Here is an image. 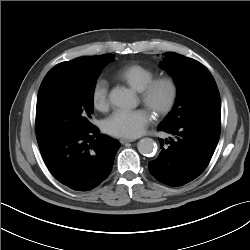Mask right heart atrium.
Segmentation results:
<instances>
[{
  "mask_svg": "<svg viewBox=\"0 0 250 250\" xmlns=\"http://www.w3.org/2000/svg\"><path fill=\"white\" fill-rule=\"evenodd\" d=\"M91 100L93 106L99 111L109 108V83L105 78L99 77L95 80L91 90Z\"/></svg>",
  "mask_w": 250,
  "mask_h": 250,
  "instance_id": "1",
  "label": "right heart atrium"
}]
</instances>
